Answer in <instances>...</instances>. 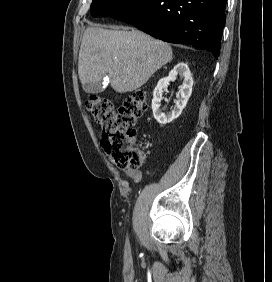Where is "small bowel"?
Returning <instances> with one entry per match:
<instances>
[{
	"instance_id": "1",
	"label": "small bowel",
	"mask_w": 272,
	"mask_h": 282,
	"mask_svg": "<svg viewBox=\"0 0 272 282\" xmlns=\"http://www.w3.org/2000/svg\"><path fill=\"white\" fill-rule=\"evenodd\" d=\"M123 174H125L128 178L134 180V182L138 183L141 178L142 174L138 170H132V169H123L122 170Z\"/></svg>"
}]
</instances>
